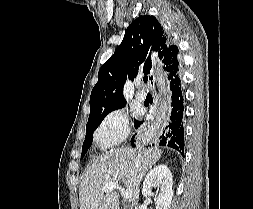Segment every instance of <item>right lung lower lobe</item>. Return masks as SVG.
<instances>
[{
    "label": "right lung lower lobe",
    "instance_id": "98d812e1",
    "mask_svg": "<svg viewBox=\"0 0 253 209\" xmlns=\"http://www.w3.org/2000/svg\"><path fill=\"white\" fill-rule=\"evenodd\" d=\"M170 90V110L166 120L156 131L154 138L159 141V145L168 146L179 151L184 156V124H183V96L181 90V80L179 70L168 75ZM143 123L135 121V128ZM135 134L131 138V145L135 146Z\"/></svg>",
    "mask_w": 253,
    "mask_h": 209
}]
</instances>
